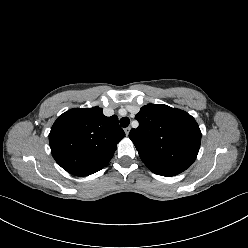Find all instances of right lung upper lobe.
<instances>
[{"label":"right lung upper lobe","instance_id":"cb5924a9","mask_svg":"<svg viewBox=\"0 0 248 248\" xmlns=\"http://www.w3.org/2000/svg\"><path fill=\"white\" fill-rule=\"evenodd\" d=\"M125 137L118 117H106L102 108H75L54 122L49 144L56 162L68 173L87 176L105 167Z\"/></svg>","mask_w":248,"mask_h":248}]
</instances>
